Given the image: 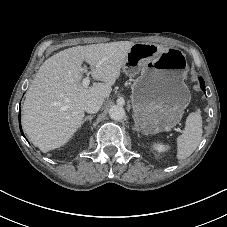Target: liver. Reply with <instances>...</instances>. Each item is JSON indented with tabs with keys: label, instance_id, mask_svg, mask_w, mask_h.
Listing matches in <instances>:
<instances>
[{
	"label": "liver",
	"instance_id": "6515ba94",
	"mask_svg": "<svg viewBox=\"0 0 227 227\" xmlns=\"http://www.w3.org/2000/svg\"><path fill=\"white\" fill-rule=\"evenodd\" d=\"M134 44L117 41L76 46L48 58L23 103L22 125L33 145L48 152L66 144L82 125L86 101L110 96ZM83 61L90 65L91 76L101 83L87 87L81 84Z\"/></svg>",
	"mask_w": 227,
	"mask_h": 227
}]
</instances>
